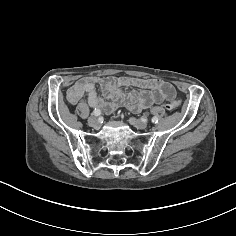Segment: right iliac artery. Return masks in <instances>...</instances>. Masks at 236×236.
Instances as JSON below:
<instances>
[{
	"label": "right iliac artery",
	"instance_id": "obj_1",
	"mask_svg": "<svg viewBox=\"0 0 236 236\" xmlns=\"http://www.w3.org/2000/svg\"><path fill=\"white\" fill-rule=\"evenodd\" d=\"M100 114H101V111L98 110V109H95V110L93 111V115H94V116H99Z\"/></svg>",
	"mask_w": 236,
	"mask_h": 236
}]
</instances>
